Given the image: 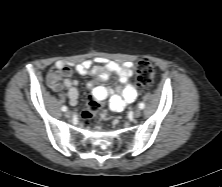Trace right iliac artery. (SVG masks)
<instances>
[{"label": "right iliac artery", "instance_id": "1", "mask_svg": "<svg viewBox=\"0 0 222 187\" xmlns=\"http://www.w3.org/2000/svg\"><path fill=\"white\" fill-rule=\"evenodd\" d=\"M61 110L65 112V111H67V107L66 106H62Z\"/></svg>", "mask_w": 222, "mask_h": 187}]
</instances>
